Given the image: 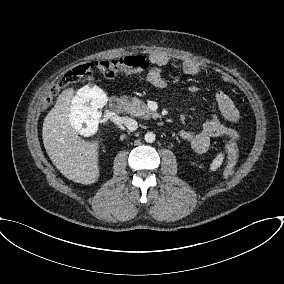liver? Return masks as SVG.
Wrapping results in <instances>:
<instances>
[{
  "label": "liver",
  "instance_id": "1",
  "mask_svg": "<svg viewBox=\"0 0 284 284\" xmlns=\"http://www.w3.org/2000/svg\"><path fill=\"white\" fill-rule=\"evenodd\" d=\"M73 92L72 88L62 91L46 115L43 144L52 163L66 178L92 184L99 178L98 143L79 137L70 123Z\"/></svg>",
  "mask_w": 284,
  "mask_h": 284
}]
</instances>
